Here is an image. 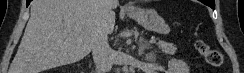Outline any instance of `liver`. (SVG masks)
I'll use <instances>...</instances> for the list:
<instances>
[{
    "mask_svg": "<svg viewBox=\"0 0 244 73\" xmlns=\"http://www.w3.org/2000/svg\"><path fill=\"white\" fill-rule=\"evenodd\" d=\"M116 0H33L9 73H41L86 57L115 26Z\"/></svg>",
    "mask_w": 244,
    "mask_h": 73,
    "instance_id": "obj_1",
    "label": "liver"
}]
</instances>
